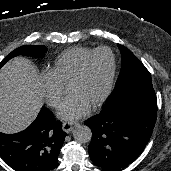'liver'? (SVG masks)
Returning <instances> with one entry per match:
<instances>
[{"label": "liver", "mask_w": 171, "mask_h": 171, "mask_svg": "<svg viewBox=\"0 0 171 171\" xmlns=\"http://www.w3.org/2000/svg\"><path fill=\"white\" fill-rule=\"evenodd\" d=\"M45 90L36 66L17 57L0 70V132L16 133L36 118Z\"/></svg>", "instance_id": "6515ba94"}]
</instances>
